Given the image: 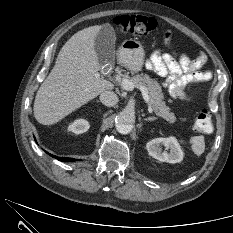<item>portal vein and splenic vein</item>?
I'll return each instance as SVG.
<instances>
[{"label": "portal vein and splenic vein", "instance_id": "portal-vein-and-splenic-vein-1", "mask_svg": "<svg viewBox=\"0 0 233 233\" xmlns=\"http://www.w3.org/2000/svg\"><path fill=\"white\" fill-rule=\"evenodd\" d=\"M122 87L123 89L127 90V91H132L134 89V85L131 81H129L128 79L124 78L122 79ZM142 96L144 98V100L146 101V103L148 104V111L149 113H153V108L151 106L150 100H149V95H148V91L147 88L140 86L139 87Z\"/></svg>", "mask_w": 233, "mask_h": 233}]
</instances>
